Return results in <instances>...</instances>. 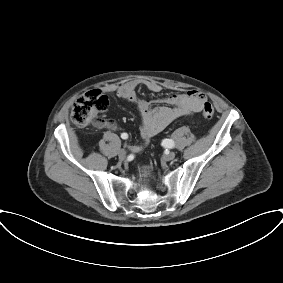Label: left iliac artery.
Masks as SVG:
<instances>
[{"mask_svg": "<svg viewBox=\"0 0 283 283\" xmlns=\"http://www.w3.org/2000/svg\"><path fill=\"white\" fill-rule=\"evenodd\" d=\"M162 145L167 148H173L175 146V143L172 139H164Z\"/></svg>", "mask_w": 283, "mask_h": 283, "instance_id": "44dca946", "label": "left iliac artery"}]
</instances>
